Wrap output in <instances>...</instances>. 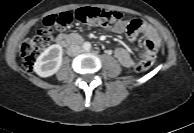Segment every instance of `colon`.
<instances>
[{"mask_svg":"<svg viewBox=\"0 0 194 133\" xmlns=\"http://www.w3.org/2000/svg\"><path fill=\"white\" fill-rule=\"evenodd\" d=\"M76 19L82 25H98L102 27H116L124 23L123 15L119 12L108 11L97 7L84 6L78 8L73 14L70 12L48 16L44 19V27L26 39L20 47V56L25 68H32L34 62L41 54L53 34ZM154 63V56L146 55L136 64L134 71L148 70Z\"/></svg>","mask_w":194,"mask_h":133,"instance_id":"colon-1","label":"colon"}]
</instances>
